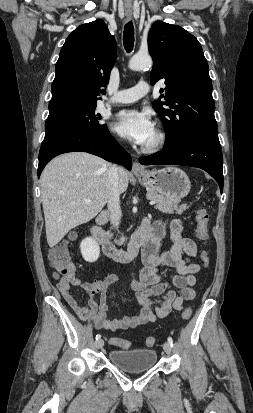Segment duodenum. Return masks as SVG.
<instances>
[{
	"label": "duodenum",
	"instance_id": "obj_1",
	"mask_svg": "<svg viewBox=\"0 0 253 413\" xmlns=\"http://www.w3.org/2000/svg\"><path fill=\"white\" fill-rule=\"evenodd\" d=\"M108 220V212L102 211L91 228V233L103 252L108 257L121 263L132 261L139 253V249L144 246L152 237L153 230L148 220H144L137 232L131 237L126 249L116 246L107 236L102 226Z\"/></svg>",
	"mask_w": 253,
	"mask_h": 413
}]
</instances>
